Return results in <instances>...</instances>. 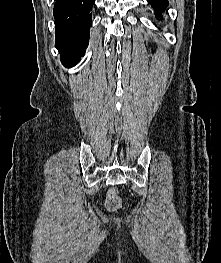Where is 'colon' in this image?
<instances>
[{"label":"colon","mask_w":221,"mask_h":263,"mask_svg":"<svg viewBox=\"0 0 221 263\" xmlns=\"http://www.w3.org/2000/svg\"><path fill=\"white\" fill-rule=\"evenodd\" d=\"M106 209L110 212H116L122 207V200L116 188L109 189L105 200Z\"/></svg>","instance_id":"colon-1"}]
</instances>
